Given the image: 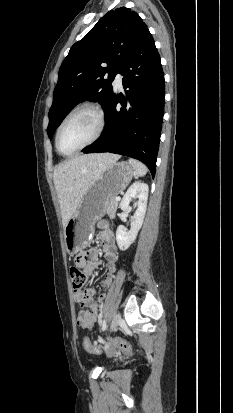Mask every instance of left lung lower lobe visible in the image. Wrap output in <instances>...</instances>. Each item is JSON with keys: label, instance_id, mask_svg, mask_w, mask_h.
Segmentation results:
<instances>
[{"label": "left lung lower lobe", "instance_id": "left-lung-lower-lobe-1", "mask_svg": "<svg viewBox=\"0 0 233 413\" xmlns=\"http://www.w3.org/2000/svg\"><path fill=\"white\" fill-rule=\"evenodd\" d=\"M125 95H115L106 109L103 135L83 152H111L143 162L155 176L165 82L160 56L149 30L121 68ZM122 107L116 110V104Z\"/></svg>", "mask_w": 233, "mask_h": 413}]
</instances>
